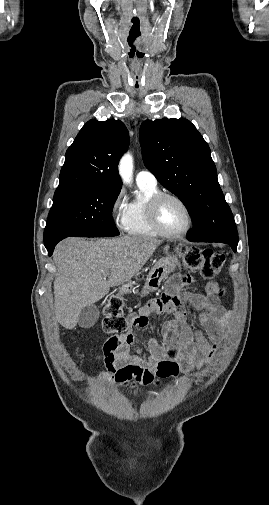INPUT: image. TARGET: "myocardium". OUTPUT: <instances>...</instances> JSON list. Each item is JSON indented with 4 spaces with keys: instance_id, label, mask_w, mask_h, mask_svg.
Here are the masks:
<instances>
[{
    "instance_id": "myocardium-1",
    "label": "myocardium",
    "mask_w": 269,
    "mask_h": 505,
    "mask_svg": "<svg viewBox=\"0 0 269 505\" xmlns=\"http://www.w3.org/2000/svg\"><path fill=\"white\" fill-rule=\"evenodd\" d=\"M165 199H172L178 202L186 211L187 214V225L186 227L179 231V232H170L167 231L163 228V226L160 223L159 217H158V210L160 204L165 200ZM147 214L149 218V222L151 226L154 228V230L161 236L164 237H169V238H179L182 236H185L192 228L194 218H193V213L191 211V208L189 205L186 203V201L181 198L180 196L169 193V192H159L153 197L150 198V200L147 203Z\"/></svg>"
}]
</instances>
